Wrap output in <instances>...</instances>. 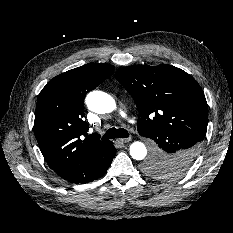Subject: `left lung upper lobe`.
<instances>
[{"instance_id":"left-lung-upper-lobe-1","label":"left lung upper lobe","mask_w":233,"mask_h":233,"mask_svg":"<svg viewBox=\"0 0 233 233\" xmlns=\"http://www.w3.org/2000/svg\"><path fill=\"white\" fill-rule=\"evenodd\" d=\"M115 78L136 103L141 116L137 127L140 135L156 130L182 131L194 135L201 146L207 131L208 106L203 90L192 76L161 64L124 67L115 73ZM168 170L181 172L157 155L144 165V171L154 177Z\"/></svg>"}]
</instances>
